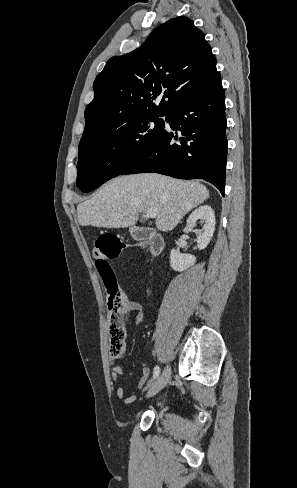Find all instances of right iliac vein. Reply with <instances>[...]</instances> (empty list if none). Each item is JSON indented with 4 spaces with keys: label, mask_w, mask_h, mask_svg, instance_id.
<instances>
[{
    "label": "right iliac vein",
    "mask_w": 297,
    "mask_h": 488,
    "mask_svg": "<svg viewBox=\"0 0 297 488\" xmlns=\"http://www.w3.org/2000/svg\"><path fill=\"white\" fill-rule=\"evenodd\" d=\"M171 375V368L167 366L159 378L152 384L150 389L147 392V397H152L156 395L159 391H161L166 384L168 383Z\"/></svg>",
    "instance_id": "right-iliac-vein-1"
}]
</instances>
